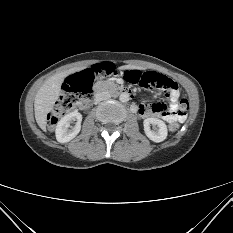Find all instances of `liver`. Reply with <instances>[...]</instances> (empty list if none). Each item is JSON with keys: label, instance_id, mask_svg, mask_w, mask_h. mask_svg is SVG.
Returning a JSON list of instances; mask_svg holds the SVG:
<instances>
[{"label": "liver", "instance_id": "obj_1", "mask_svg": "<svg viewBox=\"0 0 233 233\" xmlns=\"http://www.w3.org/2000/svg\"><path fill=\"white\" fill-rule=\"evenodd\" d=\"M134 68L135 66L132 65L120 67L123 70ZM79 70V68H74L51 76L36 93L34 100L35 119L42 130H46L47 114L52 110L55 102L58 100L64 79Z\"/></svg>", "mask_w": 233, "mask_h": 233}]
</instances>
